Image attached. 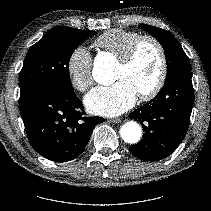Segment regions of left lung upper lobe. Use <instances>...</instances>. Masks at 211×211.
Masks as SVG:
<instances>
[{"instance_id":"left-lung-upper-lobe-1","label":"left lung upper lobe","mask_w":211,"mask_h":211,"mask_svg":"<svg viewBox=\"0 0 211 211\" xmlns=\"http://www.w3.org/2000/svg\"><path fill=\"white\" fill-rule=\"evenodd\" d=\"M139 27L156 37L163 46L167 63V78L176 72L191 69L187 55L173 34L146 24Z\"/></svg>"}]
</instances>
